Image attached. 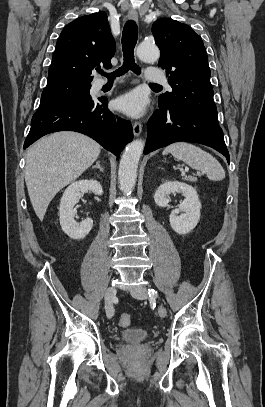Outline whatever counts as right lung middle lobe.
<instances>
[{"instance_id":"right-lung-middle-lobe-1","label":"right lung middle lobe","mask_w":265,"mask_h":407,"mask_svg":"<svg viewBox=\"0 0 265 407\" xmlns=\"http://www.w3.org/2000/svg\"><path fill=\"white\" fill-rule=\"evenodd\" d=\"M90 83L74 81L48 82L42 92L38 110L56 105L70 104L90 97Z\"/></svg>"}]
</instances>
